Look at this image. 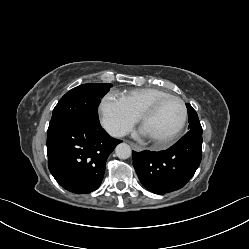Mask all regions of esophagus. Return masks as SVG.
Here are the masks:
<instances>
[{
    "instance_id": "obj_1",
    "label": "esophagus",
    "mask_w": 249,
    "mask_h": 249,
    "mask_svg": "<svg viewBox=\"0 0 249 249\" xmlns=\"http://www.w3.org/2000/svg\"><path fill=\"white\" fill-rule=\"evenodd\" d=\"M130 146L136 152L142 151V148L140 146H137L136 144L130 143Z\"/></svg>"
}]
</instances>
